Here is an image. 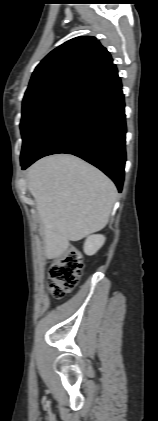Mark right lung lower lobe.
Wrapping results in <instances>:
<instances>
[{"mask_svg":"<svg viewBox=\"0 0 158 421\" xmlns=\"http://www.w3.org/2000/svg\"><path fill=\"white\" fill-rule=\"evenodd\" d=\"M125 134L122 85L116 66L111 64L67 99L44 127L21 166L26 169L51 154H73L102 170L121 192Z\"/></svg>","mask_w":158,"mask_h":421,"instance_id":"obj_1","label":"right lung lower lobe"}]
</instances>
